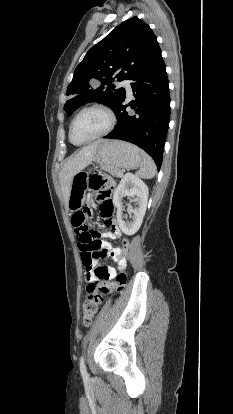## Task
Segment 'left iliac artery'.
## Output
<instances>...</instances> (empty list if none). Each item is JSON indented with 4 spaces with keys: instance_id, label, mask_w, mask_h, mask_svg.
<instances>
[{
    "instance_id": "left-iliac-artery-1",
    "label": "left iliac artery",
    "mask_w": 233,
    "mask_h": 414,
    "mask_svg": "<svg viewBox=\"0 0 233 414\" xmlns=\"http://www.w3.org/2000/svg\"><path fill=\"white\" fill-rule=\"evenodd\" d=\"M80 371L83 377L88 376L83 356L80 359Z\"/></svg>"
}]
</instances>
